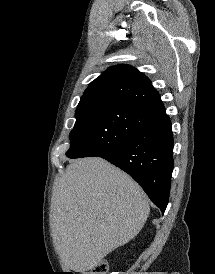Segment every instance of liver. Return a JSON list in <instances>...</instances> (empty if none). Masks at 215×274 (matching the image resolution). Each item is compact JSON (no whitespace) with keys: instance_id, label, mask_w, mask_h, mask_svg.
Wrapping results in <instances>:
<instances>
[{"instance_id":"1","label":"liver","mask_w":215,"mask_h":274,"mask_svg":"<svg viewBox=\"0 0 215 274\" xmlns=\"http://www.w3.org/2000/svg\"><path fill=\"white\" fill-rule=\"evenodd\" d=\"M149 204L142 188L102 158L73 161L57 179L51 226L64 267L86 272L144 226Z\"/></svg>"}]
</instances>
